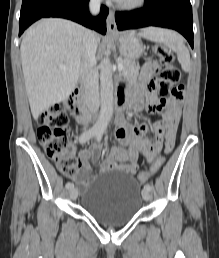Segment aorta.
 I'll list each match as a JSON object with an SVG mask.
<instances>
[{
	"label": "aorta",
	"instance_id": "aorta-1",
	"mask_svg": "<svg viewBox=\"0 0 219 258\" xmlns=\"http://www.w3.org/2000/svg\"><path fill=\"white\" fill-rule=\"evenodd\" d=\"M101 109L95 127L104 131L113 115V72L109 58L100 63Z\"/></svg>",
	"mask_w": 219,
	"mask_h": 258
}]
</instances>
